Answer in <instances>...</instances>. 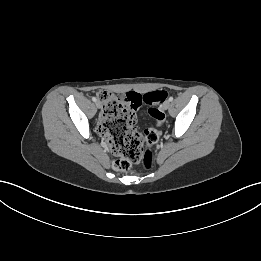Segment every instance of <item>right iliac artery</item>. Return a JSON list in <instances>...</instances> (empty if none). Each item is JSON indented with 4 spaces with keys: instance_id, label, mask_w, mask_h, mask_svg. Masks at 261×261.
<instances>
[{
    "instance_id": "right-iliac-artery-1",
    "label": "right iliac artery",
    "mask_w": 261,
    "mask_h": 261,
    "mask_svg": "<svg viewBox=\"0 0 261 261\" xmlns=\"http://www.w3.org/2000/svg\"><path fill=\"white\" fill-rule=\"evenodd\" d=\"M92 101L96 102L97 101L96 97H92Z\"/></svg>"
}]
</instances>
